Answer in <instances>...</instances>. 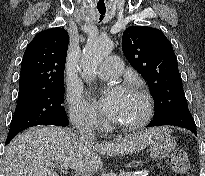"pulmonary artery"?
<instances>
[{"mask_svg":"<svg viewBox=\"0 0 205 176\" xmlns=\"http://www.w3.org/2000/svg\"><path fill=\"white\" fill-rule=\"evenodd\" d=\"M123 72V64L119 57L110 56L100 63L95 74L103 79H113L119 77Z\"/></svg>","mask_w":205,"mask_h":176,"instance_id":"1","label":"pulmonary artery"}]
</instances>
